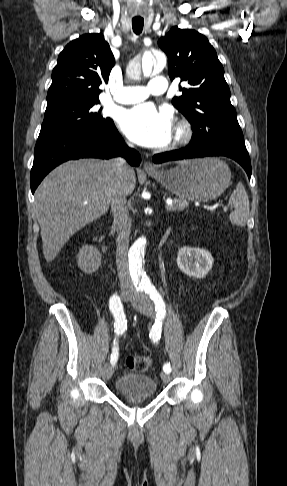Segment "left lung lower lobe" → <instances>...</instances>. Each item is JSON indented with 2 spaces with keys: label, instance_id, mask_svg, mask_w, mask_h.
<instances>
[{
  "label": "left lung lower lobe",
  "instance_id": "left-lung-lower-lobe-1",
  "mask_svg": "<svg viewBox=\"0 0 287 486\" xmlns=\"http://www.w3.org/2000/svg\"><path fill=\"white\" fill-rule=\"evenodd\" d=\"M207 156L229 157L238 162L245 169L248 177H251V162L247 150L225 145L206 146L203 144L190 142V144L185 148L154 155L153 162L163 163L173 160Z\"/></svg>",
  "mask_w": 287,
  "mask_h": 486
}]
</instances>
